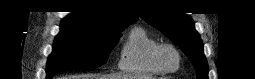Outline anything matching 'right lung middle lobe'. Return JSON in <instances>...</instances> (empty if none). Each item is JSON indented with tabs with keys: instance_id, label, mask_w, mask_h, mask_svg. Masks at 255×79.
<instances>
[{
	"instance_id": "obj_1",
	"label": "right lung middle lobe",
	"mask_w": 255,
	"mask_h": 79,
	"mask_svg": "<svg viewBox=\"0 0 255 79\" xmlns=\"http://www.w3.org/2000/svg\"><path fill=\"white\" fill-rule=\"evenodd\" d=\"M123 29L114 33L61 29L47 61V78L67 69L101 66L107 61L108 54Z\"/></svg>"
}]
</instances>
